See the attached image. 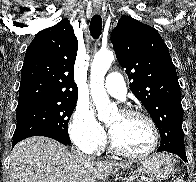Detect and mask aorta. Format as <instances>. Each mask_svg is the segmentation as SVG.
<instances>
[{
    "label": "aorta",
    "instance_id": "762f6f07",
    "mask_svg": "<svg viewBox=\"0 0 196 182\" xmlns=\"http://www.w3.org/2000/svg\"><path fill=\"white\" fill-rule=\"evenodd\" d=\"M114 60L110 50L99 51L91 64L90 91L100 121H109L117 113V106L111 103L104 87V77Z\"/></svg>",
    "mask_w": 196,
    "mask_h": 182
}]
</instances>
